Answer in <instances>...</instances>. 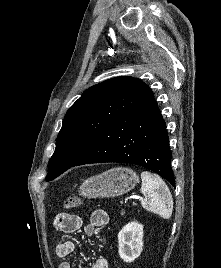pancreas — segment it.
Returning a JSON list of instances; mask_svg holds the SVG:
<instances>
[{"instance_id":"obj_1","label":"pancreas","mask_w":221,"mask_h":268,"mask_svg":"<svg viewBox=\"0 0 221 268\" xmlns=\"http://www.w3.org/2000/svg\"><path fill=\"white\" fill-rule=\"evenodd\" d=\"M124 213H125V211L122 210V211H121V215H124Z\"/></svg>"}]
</instances>
